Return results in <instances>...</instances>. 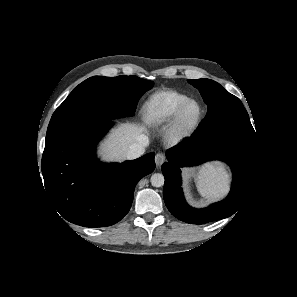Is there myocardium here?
<instances>
[{
  "label": "myocardium",
  "instance_id": "1",
  "mask_svg": "<svg viewBox=\"0 0 297 297\" xmlns=\"http://www.w3.org/2000/svg\"><path fill=\"white\" fill-rule=\"evenodd\" d=\"M191 104H195L198 107V113L195 118L189 122L185 123L183 120L184 112L187 107ZM204 117V109L202 105L194 99H189L184 102L176 111L175 115L172 118L170 132L172 136L176 139H186L193 135V133L197 130L200 123L202 122Z\"/></svg>",
  "mask_w": 297,
  "mask_h": 297
}]
</instances>
